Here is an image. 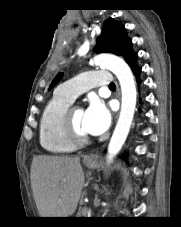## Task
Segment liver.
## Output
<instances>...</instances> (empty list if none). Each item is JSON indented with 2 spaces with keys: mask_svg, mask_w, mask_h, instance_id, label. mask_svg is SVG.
I'll use <instances>...</instances> for the list:
<instances>
[{
  "mask_svg": "<svg viewBox=\"0 0 181 227\" xmlns=\"http://www.w3.org/2000/svg\"><path fill=\"white\" fill-rule=\"evenodd\" d=\"M30 178L41 217L73 215L85 182L79 157L36 156Z\"/></svg>",
  "mask_w": 181,
  "mask_h": 227,
  "instance_id": "1",
  "label": "liver"
}]
</instances>
